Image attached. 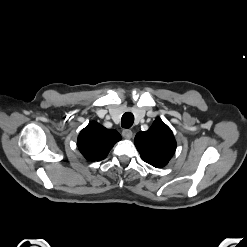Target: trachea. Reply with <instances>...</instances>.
I'll list each match as a JSON object with an SVG mask.
<instances>
[{"label": "trachea", "instance_id": "1", "mask_svg": "<svg viewBox=\"0 0 247 247\" xmlns=\"http://www.w3.org/2000/svg\"><path fill=\"white\" fill-rule=\"evenodd\" d=\"M134 122V115L130 112H126L123 114L121 119V124L123 128H130Z\"/></svg>", "mask_w": 247, "mask_h": 247}]
</instances>
